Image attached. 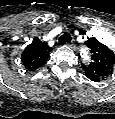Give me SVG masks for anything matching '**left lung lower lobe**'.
Here are the masks:
<instances>
[{
  "label": "left lung lower lobe",
  "mask_w": 115,
  "mask_h": 119,
  "mask_svg": "<svg viewBox=\"0 0 115 119\" xmlns=\"http://www.w3.org/2000/svg\"><path fill=\"white\" fill-rule=\"evenodd\" d=\"M87 78H89L90 80L94 81V82H99L100 78L92 76V75H86Z\"/></svg>",
  "instance_id": "obj_1"
}]
</instances>
